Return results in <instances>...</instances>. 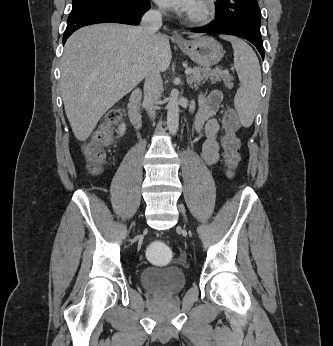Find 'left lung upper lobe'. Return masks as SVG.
I'll return each mask as SVG.
<instances>
[{"label":"left lung upper lobe","instance_id":"left-lung-upper-lobe-1","mask_svg":"<svg viewBox=\"0 0 333 346\" xmlns=\"http://www.w3.org/2000/svg\"><path fill=\"white\" fill-rule=\"evenodd\" d=\"M216 21H237L260 31L261 11L257 0H217Z\"/></svg>","mask_w":333,"mask_h":346}]
</instances>
